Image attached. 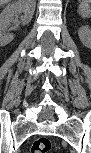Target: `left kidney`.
Returning a JSON list of instances; mask_svg holds the SVG:
<instances>
[{"instance_id": "obj_1", "label": "left kidney", "mask_w": 91, "mask_h": 153, "mask_svg": "<svg viewBox=\"0 0 91 153\" xmlns=\"http://www.w3.org/2000/svg\"><path fill=\"white\" fill-rule=\"evenodd\" d=\"M78 36L85 47H91V29L88 25L79 28Z\"/></svg>"}]
</instances>
